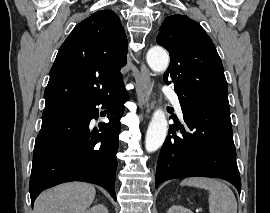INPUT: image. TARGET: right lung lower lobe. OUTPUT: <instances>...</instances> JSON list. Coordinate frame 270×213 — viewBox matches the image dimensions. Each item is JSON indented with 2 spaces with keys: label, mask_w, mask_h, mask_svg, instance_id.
I'll use <instances>...</instances> for the list:
<instances>
[{
  "label": "right lung lower lobe",
  "mask_w": 270,
  "mask_h": 213,
  "mask_svg": "<svg viewBox=\"0 0 270 213\" xmlns=\"http://www.w3.org/2000/svg\"><path fill=\"white\" fill-rule=\"evenodd\" d=\"M128 93L124 86L90 101L45 107L35 141L30 179L31 204L45 189L68 181L106 188L114 200L120 118ZM108 108L109 123L92 129L97 105Z\"/></svg>",
  "instance_id": "obj_1"
}]
</instances>
